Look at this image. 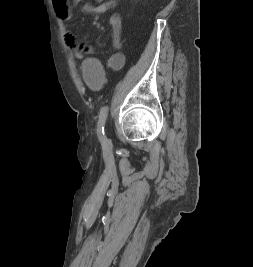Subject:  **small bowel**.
<instances>
[{
	"instance_id": "1",
	"label": "small bowel",
	"mask_w": 253,
	"mask_h": 267,
	"mask_svg": "<svg viewBox=\"0 0 253 267\" xmlns=\"http://www.w3.org/2000/svg\"><path fill=\"white\" fill-rule=\"evenodd\" d=\"M83 0H52L56 14L64 21V39L67 46L78 59L84 57L85 46L80 45L70 29V23L73 18V7L80 4ZM97 5L92 3H84L82 11L87 14H103L114 8L117 0H94ZM109 26L111 29V39L114 47L120 48L122 34V20L118 13H114L109 18ZM125 58L120 52L115 53L109 59V64L113 68H121L124 65Z\"/></svg>"
}]
</instances>
